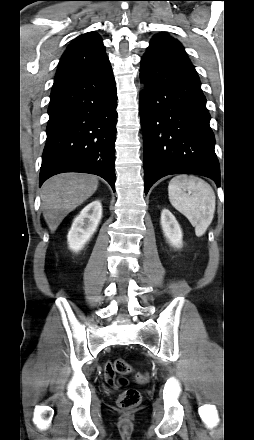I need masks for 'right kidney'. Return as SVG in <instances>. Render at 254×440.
<instances>
[{
	"label": "right kidney",
	"instance_id": "1",
	"mask_svg": "<svg viewBox=\"0 0 254 440\" xmlns=\"http://www.w3.org/2000/svg\"><path fill=\"white\" fill-rule=\"evenodd\" d=\"M102 218V204L96 200L89 203L80 214L74 219L71 229L68 232L67 240L69 248L80 251L90 240Z\"/></svg>",
	"mask_w": 254,
	"mask_h": 440
}]
</instances>
